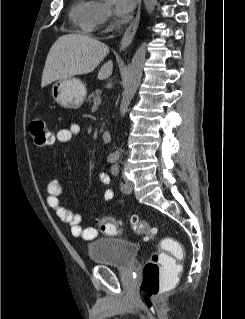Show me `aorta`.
Instances as JSON below:
<instances>
[{
  "mask_svg": "<svg viewBox=\"0 0 245 319\" xmlns=\"http://www.w3.org/2000/svg\"><path fill=\"white\" fill-rule=\"evenodd\" d=\"M157 4V0H144V5L148 13H151ZM146 43H143L135 52L131 64L128 68L124 91L120 104V115L125 116L128 111L131 100L133 99L143 73V67L146 59ZM116 157L120 153L116 152Z\"/></svg>",
  "mask_w": 245,
  "mask_h": 319,
  "instance_id": "762f6f07",
  "label": "aorta"
}]
</instances>
